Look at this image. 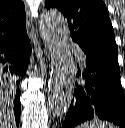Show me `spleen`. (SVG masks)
I'll use <instances>...</instances> for the list:
<instances>
[{
    "mask_svg": "<svg viewBox=\"0 0 125 128\" xmlns=\"http://www.w3.org/2000/svg\"><path fill=\"white\" fill-rule=\"evenodd\" d=\"M78 128H116L114 125L101 121L99 119H92L91 121L85 122L78 126Z\"/></svg>",
    "mask_w": 125,
    "mask_h": 128,
    "instance_id": "3e777b00",
    "label": "spleen"
}]
</instances>
